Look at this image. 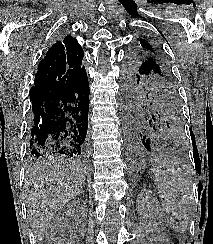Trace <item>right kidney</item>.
Instances as JSON below:
<instances>
[{"mask_svg":"<svg viewBox=\"0 0 213 244\" xmlns=\"http://www.w3.org/2000/svg\"><path fill=\"white\" fill-rule=\"evenodd\" d=\"M85 207H86L85 201H83L82 199H74L72 202L67 204L62 211L63 214L68 215L71 212L75 213L78 211H82L84 210ZM81 214H82V219H80L79 222L82 223V225H85L86 214L85 213H81Z\"/></svg>","mask_w":213,"mask_h":244,"instance_id":"ca27d5eb","label":"right kidney"}]
</instances>
